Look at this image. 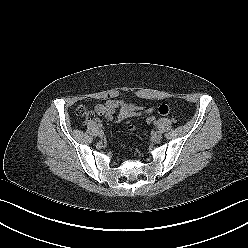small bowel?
Wrapping results in <instances>:
<instances>
[{
    "mask_svg": "<svg viewBox=\"0 0 248 248\" xmlns=\"http://www.w3.org/2000/svg\"><path fill=\"white\" fill-rule=\"evenodd\" d=\"M157 112L161 116H166L170 108L166 104H160L156 107L137 106L133 103L126 104L121 100H108L104 104L95 106V112L99 116H104L108 120L121 122L123 120ZM129 130H135L134 126H129Z\"/></svg>",
    "mask_w": 248,
    "mask_h": 248,
    "instance_id": "obj_1",
    "label": "small bowel"
}]
</instances>
